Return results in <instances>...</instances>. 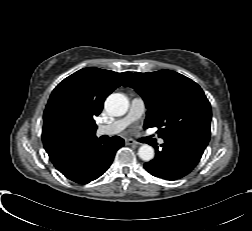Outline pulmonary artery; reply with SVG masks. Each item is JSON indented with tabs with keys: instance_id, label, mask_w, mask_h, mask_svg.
Masks as SVG:
<instances>
[{
	"instance_id": "1",
	"label": "pulmonary artery",
	"mask_w": 252,
	"mask_h": 231,
	"mask_svg": "<svg viewBox=\"0 0 252 231\" xmlns=\"http://www.w3.org/2000/svg\"><path fill=\"white\" fill-rule=\"evenodd\" d=\"M145 112V103L142 98L135 97L132 99L127 115L124 118L116 120L109 125L99 126L98 135H113L123 131L130 123L138 120ZM164 140L159 139V144H163Z\"/></svg>"
}]
</instances>
